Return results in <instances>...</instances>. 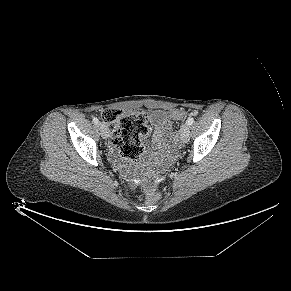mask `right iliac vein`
<instances>
[{
  "mask_svg": "<svg viewBox=\"0 0 291 291\" xmlns=\"http://www.w3.org/2000/svg\"><path fill=\"white\" fill-rule=\"evenodd\" d=\"M98 127H99V130H100L101 136L104 139H107V137H108V129H107V126L104 123H99L98 124Z\"/></svg>",
  "mask_w": 291,
  "mask_h": 291,
  "instance_id": "right-iliac-vein-1",
  "label": "right iliac vein"
}]
</instances>
